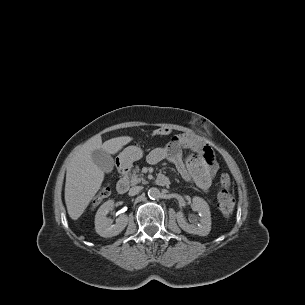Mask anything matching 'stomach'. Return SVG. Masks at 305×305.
Instances as JSON below:
<instances>
[{
    "label": "stomach",
    "mask_w": 305,
    "mask_h": 305,
    "mask_svg": "<svg viewBox=\"0 0 305 305\" xmlns=\"http://www.w3.org/2000/svg\"><path fill=\"white\" fill-rule=\"evenodd\" d=\"M143 157V150L138 146L126 147L118 156V159L122 166L130 167L133 162Z\"/></svg>",
    "instance_id": "0dacf381"
}]
</instances>
